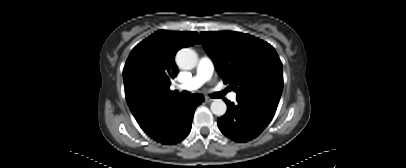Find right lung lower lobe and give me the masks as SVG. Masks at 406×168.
<instances>
[{
	"instance_id": "98d812e1",
	"label": "right lung lower lobe",
	"mask_w": 406,
	"mask_h": 168,
	"mask_svg": "<svg viewBox=\"0 0 406 168\" xmlns=\"http://www.w3.org/2000/svg\"><path fill=\"white\" fill-rule=\"evenodd\" d=\"M203 101L202 94H193L189 98L179 96L140 124V127L157 142L176 144L189 134L195 109Z\"/></svg>"
}]
</instances>
